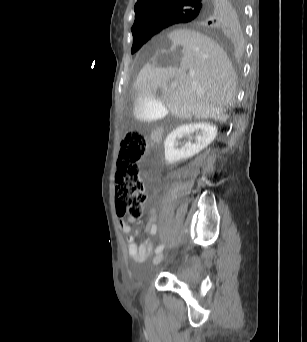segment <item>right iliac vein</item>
Instances as JSON below:
<instances>
[{"label": "right iliac vein", "instance_id": "obj_1", "mask_svg": "<svg viewBox=\"0 0 307 342\" xmlns=\"http://www.w3.org/2000/svg\"><path fill=\"white\" fill-rule=\"evenodd\" d=\"M164 258V254L162 252H159L155 255L154 259H153V263L154 264H159Z\"/></svg>", "mask_w": 307, "mask_h": 342}]
</instances>
